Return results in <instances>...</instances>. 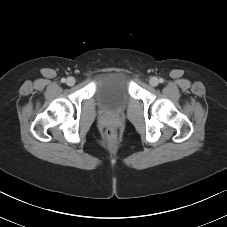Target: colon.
<instances>
[{"instance_id":"colon-1","label":"colon","mask_w":227,"mask_h":227,"mask_svg":"<svg viewBox=\"0 0 227 227\" xmlns=\"http://www.w3.org/2000/svg\"><path fill=\"white\" fill-rule=\"evenodd\" d=\"M105 136L111 142H113L116 138V132L113 127L107 126L104 130Z\"/></svg>"}]
</instances>
